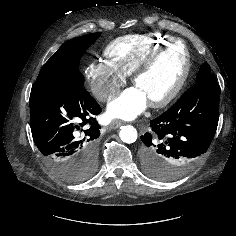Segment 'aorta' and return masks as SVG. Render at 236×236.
Returning <instances> with one entry per match:
<instances>
[{
    "label": "aorta",
    "instance_id": "obj_1",
    "mask_svg": "<svg viewBox=\"0 0 236 236\" xmlns=\"http://www.w3.org/2000/svg\"><path fill=\"white\" fill-rule=\"evenodd\" d=\"M119 137L125 143H134L137 140V130L131 125L122 126L119 131Z\"/></svg>",
    "mask_w": 236,
    "mask_h": 236
}]
</instances>
